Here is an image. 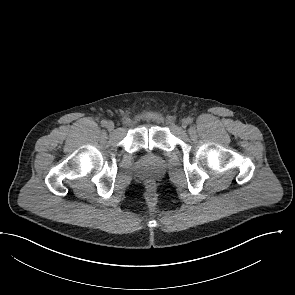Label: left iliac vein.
<instances>
[{
  "label": "left iliac vein",
  "mask_w": 295,
  "mask_h": 295,
  "mask_svg": "<svg viewBox=\"0 0 295 295\" xmlns=\"http://www.w3.org/2000/svg\"><path fill=\"white\" fill-rule=\"evenodd\" d=\"M188 124L189 123H188L187 119H183L182 122H181V125H182L183 128H186Z\"/></svg>",
  "instance_id": "4c4485c4"
}]
</instances>
